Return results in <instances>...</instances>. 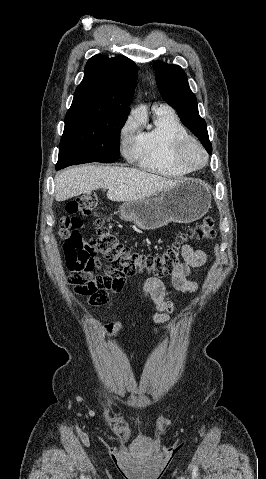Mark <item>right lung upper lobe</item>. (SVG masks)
Returning <instances> with one entry per match:
<instances>
[{
	"mask_svg": "<svg viewBox=\"0 0 266 479\" xmlns=\"http://www.w3.org/2000/svg\"><path fill=\"white\" fill-rule=\"evenodd\" d=\"M137 69L123 55L109 58L97 54L85 66L66 116L128 117Z\"/></svg>",
	"mask_w": 266,
	"mask_h": 479,
	"instance_id": "1",
	"label": "right lung upper lobe"
}]
</instances>
